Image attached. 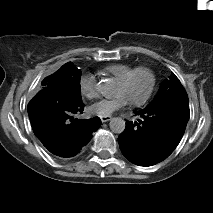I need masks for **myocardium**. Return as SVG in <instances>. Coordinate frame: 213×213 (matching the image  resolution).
I'll return each instance as SVG.
<instances>
[{
	"label": "myocardium",
	"instance_id": "obj_1",
	"mask_svg": "<svg viewBox=\"0 0 213 213\" xmlns=\"http://www.w3.org/2000/svg\"><path fill=\"white\" fill-rule=\"evenodd\" d=\"M143 78L144 82L138 89L135 87L136 82ZM121 87L124 93L132 102H140L148 97L154 85L153 74L146 68H137L132 74L121 80Z\"/></svg>",
	"mask_w": 213,
	"mask_h": 213
}]
</instances>
